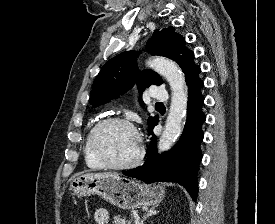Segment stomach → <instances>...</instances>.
<instances>
[{
    "mask_svg": "<svg viewBox=\"0 0 275 224\" xmlns=\"http://www.w3.org/2000/svg\"><path fill=\"white\" fill-rule=\"evenodd\" d=\"M70 190L80 197L98 195L125 210L157 205L165 196L161 185L148 186L112 173L75 177L70 183Z\"/></svg>",
    "mask_w": 275,
    "mask_h": 224,
    "instance_id": "0dacf381",
    "label": "stomach"
}]
</instances>
